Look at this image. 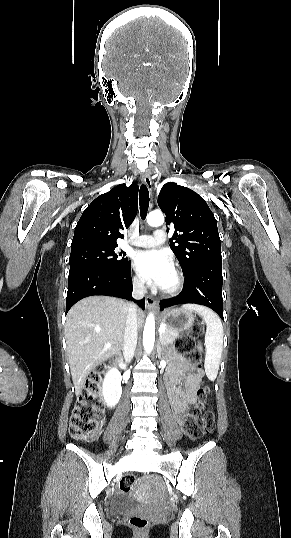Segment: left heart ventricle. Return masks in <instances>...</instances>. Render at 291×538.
Listing matches in <instances>:
<instances>
[{"mask_svg": "<svg viewBox=\"0 0 291 538\" xmlns=\"http://www.w3.org/2000/svg\"><path fill=\"white\" fill-rule=\"evenodd\" d=\"M174 281H175V276H174V273H172V274L168 277V279H167V281L165 282V284H164L163 287H169V286H171V285L174 283Z\"/></svg>", "mask_w": 291, "mask_h": 538, "instance_id": "b2bd125f", "label": "left heart ventricle"}]
</instances>
